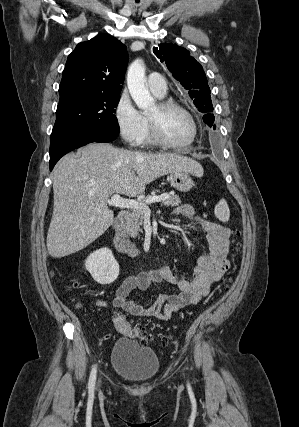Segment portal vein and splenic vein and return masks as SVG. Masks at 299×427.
Here are the masks:
<instances>
[{
    "instance_id": "portal-vein-and-splenic-vein-1",
    "label": "portal vein and splenic vein",
    "mask_w": 299,
    "mask_h": 427,
    "mask_svg": "<svg viewBox=\"0 0 299 427\" xmlns=\"http://www.w3.org/2000/svg\"><path fill=\"white\" fill-rule=\"evenodd\" d=\"M169 198L168 194H162L160 196H154L149 198L146 203H155V202H161ZM108 204L110 206H116L119 208H130V209H142L145 213L150 214L149 207L140 202L133 199H124L119 194H114L110 200H108Z\"/></svg>"
}]
</instances>
